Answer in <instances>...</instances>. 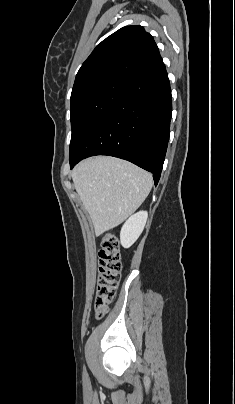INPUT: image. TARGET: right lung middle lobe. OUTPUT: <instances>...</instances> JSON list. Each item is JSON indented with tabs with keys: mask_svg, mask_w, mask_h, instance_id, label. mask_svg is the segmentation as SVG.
Here are the masks:
<instances>
[{
	"mask_svg": "<svg viewBox=\"0 0 235 404\" xmlns=\"http://www.w3.org/2000/svg\"><path fill=\"white\" fill-rule=\"evenodd\" d=\"M127 83L104 82L86 87L71 96L70 154L98 120L119 100Z\"/></svg>",
	"mask_w": 235,
	"mask_h": 404,
	"instance_id": "obj_1",
	"label": "right lung middle lobe"
}]
</instances>
